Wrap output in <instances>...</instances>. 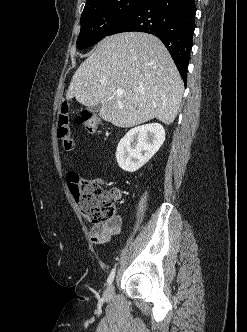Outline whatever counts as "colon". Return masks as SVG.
I'll list each match as a JSON object with an SVG mask.
<instances>
[{"label":"colon","instance_id":"1","mask_svg":"<svg viewBox=\"0 0 247 332\" xmlns=\"http://www.w3.org/2000/svg\"><path fill=\"white\" fill-rule=\"evenodd\" d=\"M76 122L82 124L87 132L95 133L100 125V118L92 112L84 111L76 117ZM57 136L63 149L71 151L74 148L71 134V104L68 101H64L60 108ZM68 184L88 221L100 225L115 216V196L112 190L106 188L102 179H80L77 174L71 173Z\"/></svg>","mask_w":247,"mask_h":332}]
</instances>
